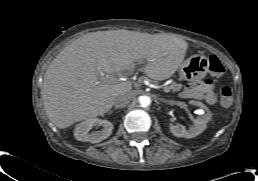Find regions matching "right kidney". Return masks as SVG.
Wrapping results in <instances>:
<instances>
[{
  "instance_id": "right-kidney-1",
  "label": "right kidney",
  "mask_w": 258,
  "mask_h": 181,
  "mask_svg": "<svg viewBox=\"0 0 258 181\" xmlns=\"http://www.w3.org/2000/svg\"><path fill=\"white\" fill-rule=\"evenodd\" d=\"M102 126L100 131H92L94 127ZM113 130V124L107 120H101L98 118H89L76 125L74 130V136L78 141L99 143L102 140L108 138Z\"/></svg>"
}]
</instances>
